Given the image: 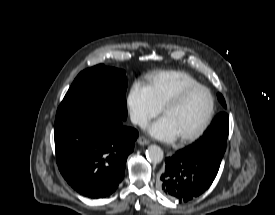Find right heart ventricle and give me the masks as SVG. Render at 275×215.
<instances>
[{"mask_svg": "<svg viewBox=\"0 0 275 215\" xmlns=\"http://www.w3.org/2000/svg\"><path fill=\"white\" fill-rule=\"evenodd\" d=\"M197 83L194 77L180 70L157 71L146 77V87L160 109L181 89Z\"/></svg>", "mask_w": 275, "mask_h": 215, "instance_id": "e07e8e85", "label": "right heart ventricle"}]
</instances>
